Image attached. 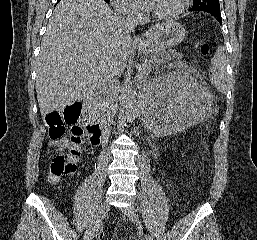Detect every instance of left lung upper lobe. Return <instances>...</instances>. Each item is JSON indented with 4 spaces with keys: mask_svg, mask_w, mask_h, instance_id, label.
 <instances>
[{
    "mask_svg": "<svg viewBox=\"0 0 257 240\" xmlns=\"http://www.w3.org/2000/svg\"><path fill=\"white\" fill-rule=\"evenodd\" d=\"M192 11L217 10L220 11L219 0H193Z\"/></svg>",
    "mask_w": 257,
    "mask_h": 240,
    "instance_id": "1",
    "label": "left lung upper lobe"
}]
</instances>
